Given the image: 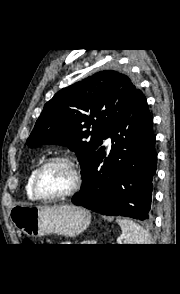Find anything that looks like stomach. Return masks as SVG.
<instances>
[{"instance_id": "1", "label": "stomach", "mask_w": 180, "mask_h": 294, "mask_svg": "<svg viewBox=\"0 0 180 294\" xmlns=\"http://www.w3.org/2000/svg\"><path fill=\"white\" fill-rule=\"evenodd\" d=\"M16 228L31 237L58 234L75 237L90 224V212L74 205L32 206L17 205L11 209Z\"/></svg>"}]
</instances>
